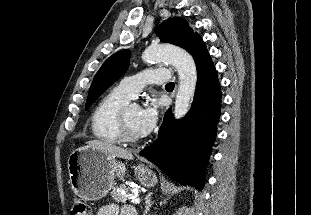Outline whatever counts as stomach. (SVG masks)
Segmentation results:
<instances>
[{"label":"stomach","mask_w":311,"mask_h":215,"mask_svg":"<svg viewBox=\"0 0 311 215\" xmlns=\"http://www.w3.org/2000/svg\"><path fill=\"white\" fill-rule=\"evenodd\" d=\"M68 172L74 193L84 200L96 201L113 188L116 176L123 178L126 167L99 149L82 146L69 155ZM135 176L145 187H153L158 182L156 174L144 165L135 168Z\"/></svg>","instance_id":"0dacf381"}]
</instances>
